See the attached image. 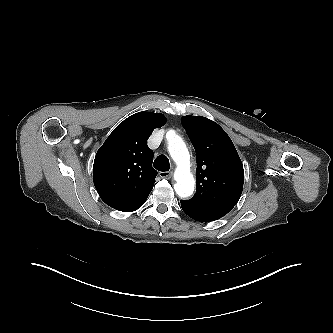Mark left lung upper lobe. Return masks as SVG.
<instances>
[{
  "label": "left lung upper lobe",
  "mask_w": 333,
  "mask_h": 333,
  "mask_svg": "<svg viewBox=\"0 0 333 333\" xmlns=\"http://www.w3.org/2000/svg\"><path fill=\"white\" fill-rule=\"evenodd\" d=\"M196 150V193L187 202L225 216L242 194L244 170L227 133L214 121L201 116L182 117Z\"/></svg>",
  "instance_id": "obj_1"
}]
</instances>
